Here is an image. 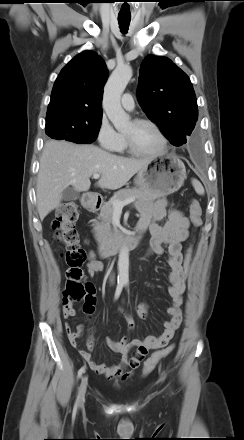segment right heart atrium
<instances>
[{
	"label": "right heart atrium",
	"instance_id": "obj_1",
	"mask_svg": "<svg viewBox=\"0 0 244 440\" xmlns=\"http://www.w3.org/2000/svg\"><path fill=\"white\" fill-rule=\"evenodd\" d=\"M96 137L101 147L114 150L118 145L120 134L113 128L106 115H103L98 125Z\"/></svg>",
	"mask_w": 244,
	"mask_h": 440
}]
</instances>
